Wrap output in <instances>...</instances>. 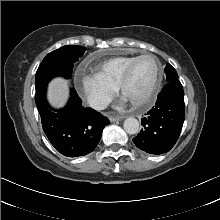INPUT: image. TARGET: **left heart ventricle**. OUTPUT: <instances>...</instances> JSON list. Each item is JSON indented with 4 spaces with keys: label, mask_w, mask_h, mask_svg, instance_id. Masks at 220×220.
Wrapping results in <instances>:
<instances>
[{
    "label": "left heart ventricle",
    "mask_w": 220,
    "mask_h": 220,
    "mask_svg": "<svg viewBox=\"0 0 220 220\" xmlns=\"http://www.w3.org/2000/svg\"><path fill=\"white\" fill-rule=\"evenodd\" d=\"M156 73V63L152 57L139 60L126 86L124 97L130 100L141 99L149 90Z\"/></svg>",
    "instance_id": "obj_1"
}]
</instances>
